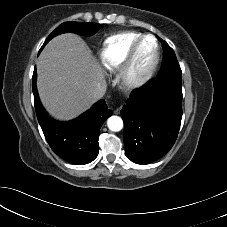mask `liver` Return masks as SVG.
<instances>
[{"label":"liver","instance_id":"obj_1","mask_svg":"<svg viewBox=\"0 0 227 227\" xmlns=\"http://www.w3.org/2000/svg\"><path fill=\"white\" fill-rule=\"evenodd\" d=\"M36 67L41 102L59 120L73 119L87 110L95 102L92 92L105 83L102 68L75 34L53 38L41 52Z\"/></svg>","mask_w":227,"mask_h":227}]
</instances>
